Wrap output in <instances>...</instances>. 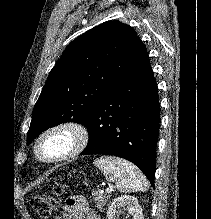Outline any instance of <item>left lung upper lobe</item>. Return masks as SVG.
Here are the masks:
<instances>
[{
  "instance_id": "obj_1",
  "label": "left lung upper lobe",
  "mask_w": 211,
  "mask_h": 219,
  "mask_svg": "<svg viewBox=\"0 0 211 219\" xmlns=\"http://www.w3.org/2000/svg\"><path fill=\"white\" fill-rule=\"evenodd\" d=\"M144 47L135 31L119 21L104 22L76 38L49 73L33 110L27 143L61 123L85 125Z\"/></svg>"
}]
</instances>
